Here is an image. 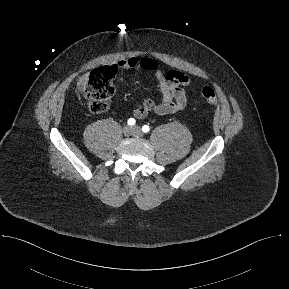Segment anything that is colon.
Listing matches in <instances>:
<instances>
[{"instance_id": "obj_1", "label": "colon", "mask_w": 289, "mask_h": 289, "mask_svg": "<svg viewBox=\"0 0 289 289\" xmlns=\"http://www.w3.org/2000/svg\"><path fill=\"white\" fill-rule=\"evenodd\" d=\"M114 67H102L82 75L77 82V92L83 96L92 112L102 113L109 108V99L114 93L112 79ZM201 96L210 104L217 103V95L212 87L201 89Z\"/></svg>"}]
</instances>
